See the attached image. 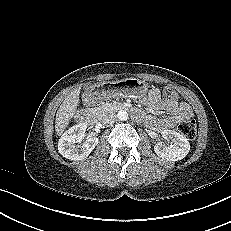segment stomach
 <instances>
[{
  "instance_id": "0dacf381",
  "label": "stomach",
  "mask_w": 231,
  "mask_h": 231,
  "mask_svg": "<svg viewBox=\"0 0 231 231\" xmlns=\"http://www.w3.org/2000/svg\"><path fill=\"white\" fill-rule=\"evenodd\" d=\"M107 93L110 95L141 98L148 93V85L137 78H126L108 85Z\"/></svg>"
}]
</instances>
